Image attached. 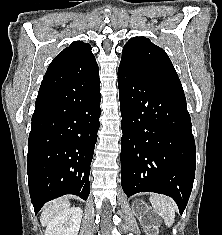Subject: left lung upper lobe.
<instances>
[{
  "mask_svg": "<svg viewBox=\"0 0 222 235\" xmlns=\"http://www.w3.org/2000/svg\"><path fill=\"white\" fill-rule=\"evenodd\" d=\"M120 65L132 71L170 85L182 92L179 77L166 52L148 38L134 37L124 46Z\"/></svg>",
  "mask_w": 222,
  "mask_h": 235,
  "instance_id": "obj_1",
  "label": "left lung upper lobe"
}]
</instances>
